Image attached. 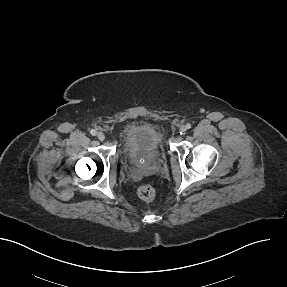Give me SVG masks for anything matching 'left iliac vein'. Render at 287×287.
Returning <instances> with one entry per match:
<instances>
[{"instance_id":"4c4485c4","label":"left iliac vein","mask_w":287,"mask_h":287,"mask_svg":"<svg viewBox=\"0 0 287 287\" xmlns=\"http://www.w3.org/2000/svg\"><path fill=\"white\" fill-rule=\"evenodd\" d=\"M186 130H187L186 126L182 125V126L180 127V132H181V133H185Z\"/></svg>"}]
</instances>
